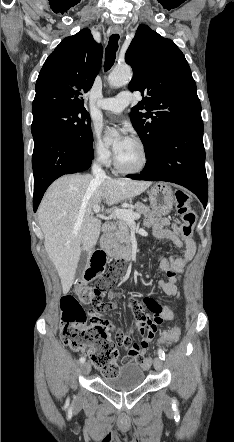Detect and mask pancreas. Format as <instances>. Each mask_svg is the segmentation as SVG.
Wrapping results in <instances>:
<instances>
[{"mask_svg": "<svg viewBox=\"0 0 234 442\" xmlns=\"http://www.w3.org/2000/svg\"><path fill=\"white\" fill-rule=\"evenodd\" d=\"M129 210L145 216L150 213V207L141 202H137ZM122 244H130V230L127 222L118 220L108 224L102 240V247L110 256H114L115 248L120 247Z\"/></svg>", "mask_w": 234, "mask_h": 442, "instance_id": "cf45deb5", "label": "pancreas"}]
</instances>
